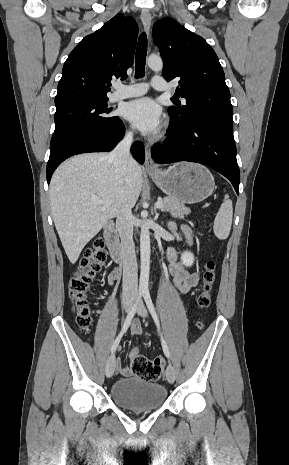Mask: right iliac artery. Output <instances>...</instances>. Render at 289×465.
Returning <instances> with one entry per match:
<instances>
[{"instance_id":"1","label":"right iliac artery","mask_w":289,"mask_h":465,"mask_svg":"<svg viewBox=\"0 0 289 465\" xmlns=\"http://www.w3.org/2000/svg\"><path fill=\"white\" fill-rule=\"evenodd\" d=\"M142 295H143L142 293H139V294H138V296H137V298H136V301H135L134 305L132 306L130 312L128 313V315H127V317H126V319H125V321H124L122 330H121L120 334L117 336V338L115 339V341H114V343H113V345H112V347H111V352H112V353H114V351L116 350V348H117L118 345H119V342H120V340H121L123 334L127 331L128 327H129V325H130V323H131V321H132V319H133V317H134V315H135V313H136V310H137L138 305H139V303H140V301H141Z\"/></svg>"}]
</instances>
